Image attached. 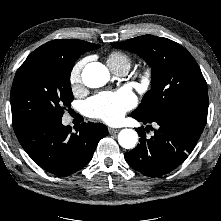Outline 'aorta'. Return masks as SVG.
Wrapping results in <instances>:
<instances>
[{"mask_svg":"<svg viewBox=\"0 0 221 221\" xmlns=\"http://www.w3.org/2000/svg\"><path fill=\"white\" fill-rule=\"evenodd\" d=\"M110 78L109 71L100 62L87 64L82 71V81L89 88L104 86ZM138 134L133 129H122L118 134V142L125 149H132L136 146Z\"/></svg>","mask_w":221,"mask_h":221,"instance_id":"1","label":"aorta"}]
</instances>
